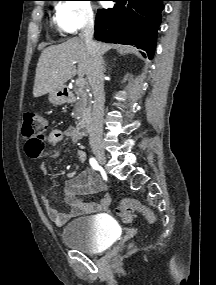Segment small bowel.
<instances>
[{"instance_id":"small-bowel-1","label":"small bowel","mask_w":216,"mask_h":285,"mask_svg":"<svg viewBox=\"0 0 216 285\" xmlns=\"http://www.w3.org/2000/svg\"><path fill=\"white\" fill-rule=\"evenodd\" d=\"M82 138L83 135L76 127H68L65 130L53 129L47 137V142L50 145H55L63 140H69L77 144ZM76 160L77 162H84L86 160V152L83 149L76 151ZM41 169L43 172H48L49 170L45 164L42 165ZM103 190V183L92 170L87 169L65 182L63 201L68 206L66 212H61L56 208L53 200L45 195H42L41 200L50 220L55 225L62 226L74 217L106 210L111 202L109 195H105L97 203H85L81 198L85 194L98 193Z\"/></svg>"}]
</instances>
